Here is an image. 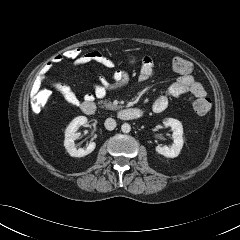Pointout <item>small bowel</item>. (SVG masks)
I'll return each mask as SVG.
<instances>
[{
  "label": "small bowel",
  "instance_id": "small-bowel-1",
  "mask_svg": "<svg viewBox=\"0 0 240 240\" xmlns=\"http://www.w3.org/2000/svg\"><path fill=\"white\" fill-rule=\"evenodd\" d=\"M63 61L60 54L55 55L51 60L43 65V67L37 73L33 84L31 86V95L34 96L40 90L43 82L49 78V73L54 65ZM96 62L102 66L112 69L115 67V63L112 59L105 56L99 51L93 50L87 52L83 58V64ZM154 61L151 57L146 56L142 60V66L139 73V81L145 82L149 80L153 75ZM128 74L124 70H114L110 73L111 81L104 75L98 74V81L94 85V93H88L85 95V100L92 101L94 97L104 98L109 91L117 90L123 87L128 81ZM51 85L62 93L65 100L72 106H79L80 100L72 89L60 82L51 81ZM48 94V91H45ZM186 93H191L195 97L206 98L207 93L201 83L195 80L190 74H182L179 76L167 90L159 95L152 104V111L155 113L163 112L169 103L171 98H179Z\"/></svg>",
  "mask_w": 240,
  "mask_h": 240
}]
</instances>
